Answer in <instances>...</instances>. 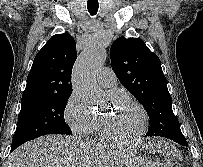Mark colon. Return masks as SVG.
I'll use <instances>...</instances> for the list:
<instances>
[{
    "label": "colon",
    "mask_w": 203,
    "mask_h": 167,
    "mask_svg": "<svg viewBox=\"0 0 203 167\" xmlns=\"http://www.w3.org/2000/svg\"><path fill=\"white\" fill-rule=\"evenodd\" d=\"M157 167H181L179 163L166 155H160L157 158Z\"/></svg>",
    "instance_id": "1"
}]
</instances>
